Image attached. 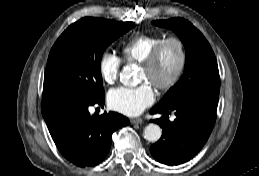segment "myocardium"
Masks as SVG:
<instances>
[{
  "label": "myocardium",
  "instance_id": "obj_1",
  "mask_svg": "<svg viewBox=\"0 0 259 176\" xmlns=\"http://www.w3.org/2000/svg\"><path fill=\"white\" fill-rule=\"evenodd\" d=\"M168 44H175L179 51V62L174 74L166 81H155L152 85L161 92H168L173 89L180 81L187 64V51L184 42L178 37H167L161 40L141 62V66L153 70L158 63L163 49Z\"/></svg>",
  "mask_w": 259,
  "mask_h": 176
}]
</instances>
